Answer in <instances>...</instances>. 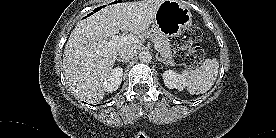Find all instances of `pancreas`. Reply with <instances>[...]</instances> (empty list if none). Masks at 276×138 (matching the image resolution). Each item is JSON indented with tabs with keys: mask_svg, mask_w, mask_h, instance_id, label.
Listing matches in <instances>:
<instances>
[{
	"mask_svg": "<svg viewBox=\"0 0 276 138\" xmlns=\"http://www.w3.org/2000/svg\"><path fill=\"white\" fill-rule=\"evenodd\" d=\"M142 36L153 40L158 44V51L160 52L163 59L169 65H174V61L172 59V52L170 47V41L167 36L163 35L159 31L155 29H149L141 32Z\"/></svg>",
	"mask_w": 276,
	"mask_h": 138,
	"instance_id": "1",
	"label": "pancreas"
}]
</instances>
